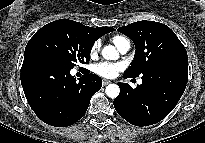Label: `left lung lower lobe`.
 Masks as SVG:
<instances>
[{"mask_svg":"<svg viewBox=\"0 0 205 143\" xmlns=\"http://www.w3.org/2000/svg\"><path fill=\"white\" fill-rule=\"evenodd\" d=\"M124 78H128L124 75ZM135 89L118 83L120 94L113 104L117 113L135 126L160 122L177 105L188 80V61L172 60L157 64L142 75Z\"/></svg>","mask_w":205,"mask_h":143,"instance_id":"0a47b994","label":"left lung lower lobe"}]
</instances>
